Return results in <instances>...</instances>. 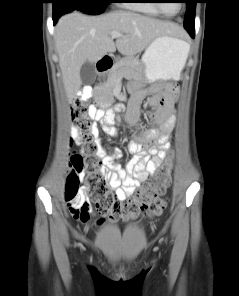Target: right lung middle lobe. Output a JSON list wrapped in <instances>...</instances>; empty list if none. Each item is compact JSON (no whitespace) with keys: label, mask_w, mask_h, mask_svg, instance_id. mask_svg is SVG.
Masks as SVG:
<instances>
[{"label":"right lung middle lobe","mask_w":239,"mask_h":296,"mask_svg":"<svg viewBox=\"0 0 239 296\" xmlns=\"http://www.w3.org/2000/svg\"><path fill=\"white\" fill-rule=\"evenodd\" d=\"M111 0H53V7L57 6L63 13L79 10L87 14H101Z\"/></svg>","instance_id":"1"}]
</instances>
